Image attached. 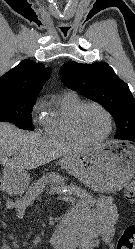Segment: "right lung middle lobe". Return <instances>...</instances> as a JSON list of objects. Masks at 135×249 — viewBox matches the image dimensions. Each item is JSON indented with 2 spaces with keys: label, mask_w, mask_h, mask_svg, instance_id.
<instances>
[{
  "label": "right lung middle lobe",
  "mask_w": 135,
  "mask_h": 249,
  "mask_svg": "<svg viewBox=\"0 0 135 249\" xmlns=\"http://www.w3.org/2000/svg\"><path fill=\"white\" fill-rule=\"evenodd\" d=\"M36 98L0 94V121L10 122L21 129L34 130L31 110Z\"/></svg>",
  "instance_id": "dd1d6c3e"
}]
</instances>
